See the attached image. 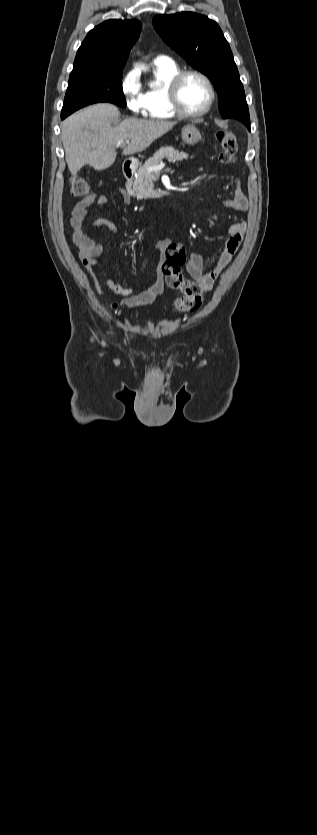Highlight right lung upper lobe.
Listing matches in <instances>:
<instances>
[{
    "instance_id": "1",
    "label": "right lung upper lobe",
    "mask_w": 317,
    "mask_h": 835,
    "mask_svg": "<svg viewBox=\"0 0 317 835\" xmlns=\"http://www.w3.org/2000/svg\"><path fill=\"white\" fill-rule=\"evenodd\" d=\"M141 31L137 20L111 19L92 29L77 51L73 70L105 68L123 70L129 51Z\"/></svg>"
}]
</instances>
